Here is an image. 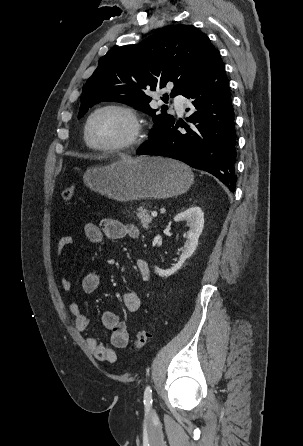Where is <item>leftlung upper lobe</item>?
<instances>
[{"label":"left lung upper lobe","mask_w":303,"mask_h":446,"mask_svg":"<svg viewBox=\"0 0 303 446\" xmlns=\"http://www.w3.org/2000/svg\"><path fill=\"white\" fill-rule=\"evenodd\" d=\"M218 53L210 39L191 25L166 27L139 44L113 48L100 58L84 85L78 118L101 101L126 103L153 117L151 140L174 118L164 110L158 113L152 109V98L145 90L154 91L173 82L171 97L182 95L205 73Z\"/></svg>","instance_id":"obj_1"}]
</instances>
